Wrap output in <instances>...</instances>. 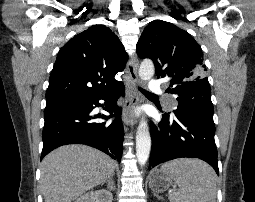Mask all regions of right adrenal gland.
<instances>
[{
  "label": "right adrenal gland",
  "mask_w": 255,
  "mask_h": 202,
  "mask_svg": "<svg viewBox=\"0 0 255 202\" xmlns=\"http://www.w3.org/2000/svg\"><path fill=\"white\" fill-rule=\"evenodd\" d=\"M104 183H107V188L109 191H115L116 190V187H115V184L113 182V177H110L107 182H103L101 183V185H104Z\"/></svg>",
  "instance_id": "right-adrenal-gland-1"
}]
</instances>
